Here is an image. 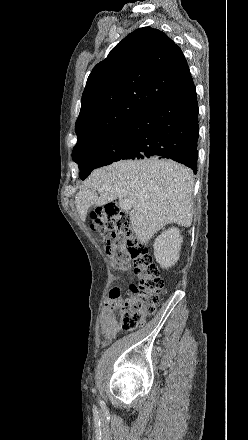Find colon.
<instances>
[{
    "label": "colon",
    "instance_id": "1",
    "mask_svg": "<svg viewBox=\"0 0 248 440\" xmlns=\"http://www.w3.org/2000/svg\"><path fill=\"white\" fill-rule=\"evenodd\" d=\"M92 228L106 234V250L113 266L126 270L133 265L139 277L125 293L119 287L109 291V301L120 310L121 326L132 330L142 326L157 308L164 289L163 279L151 265L146 248L134 236L130 216L116 204H107L92 214Z\"/></svg>",
    "mask_w": 248,
    "mask_h": 440
}]
</instances>
